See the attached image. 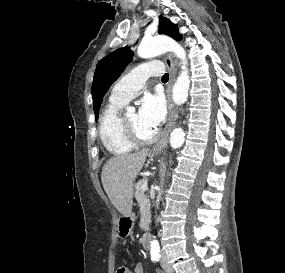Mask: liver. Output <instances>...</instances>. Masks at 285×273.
Returning <instances> with one entry per match:
<instances>
[{"label":"liver","mask_w":285,"mask_h":273,"mask_svg":"<svg viewBox=\"0 0 285 273\" xmlns=\"http://www.w3.org/2000/svg\"><path fill=\"white\" fill-rule=\"evenodd\" d=\"M149 149L110 158L102 168L101 181L111 203L124 216H131L133 184L142 169Z\"/></svg>","instance_id":"liver-1"}]
</instances>
